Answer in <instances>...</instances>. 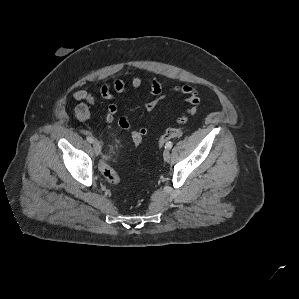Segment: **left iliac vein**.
<instances>
[{
    "instance_id": "4c4485c4",
    "label": "left iliac vein",
    "mask_w": 299,
    "mask_h": 299,
    "mask_svg": "<svg viewBox=\"0 0 299 299\" xmlns=\"http://www.w3.org/2000/svg\"><path fill=\"white\" fill-rule=\"evenodd\" d=\"M163 158L166 162H169L170 158H171V155H170V151L168 149H166L164 152H163Z\"/></svg>"
}]
</instances>
